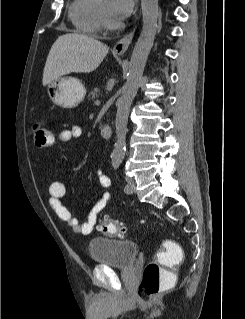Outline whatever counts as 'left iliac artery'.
I'll return each instance as SVG.
<instances>
[{"label":"left iliac artery","mask_w":245,"mask_h":319,"mask_svg":"<svg viewBox=\"0 0 245 319\" xmlns=\"http://www.w3.org/2000/svg\"><path fill=\"white\" fill-rule=\"evenodd\" d=\"M122 160L119 159V158H115L113 159L112 161V165H113V168L116 170L119 168L120 164H121ZM129 189L128 185H125L124 187V191H127Z\"/></svg>","instance_id":"1"}]
</instances>
